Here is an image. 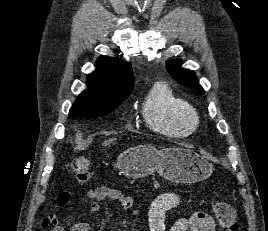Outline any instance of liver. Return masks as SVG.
<instances>
[{
  "label": "liver",
  "instance_id": "1",
  "mask_svg": "<svg viewBox=\"0 0 268 231\" xmlns=\"http://www.w3.org/2000/svg\"><path fill=\"white\" fill-rule=\"evenodd\" d=\"M113 140H108V141H105L104 143H103V145H109L111 142H112Z\"/></svg>",
  "mask_w": 268,
  "mask_h": 231
}]
</instances>
